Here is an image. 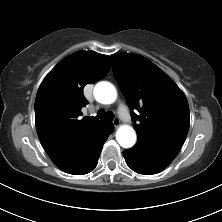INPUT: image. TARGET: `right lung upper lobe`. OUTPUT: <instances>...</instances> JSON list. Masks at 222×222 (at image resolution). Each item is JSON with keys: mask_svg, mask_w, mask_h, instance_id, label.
I'll use <instances>...</instances> for the list:
<instances>
[{"mask_svg": "<svg viewBox=\"0 0 222 222\" xmlns=\"http://www.w3.org/2000/svg\"><path fill=\"white\" fill-rule=\"evenodd\" d=\"M110 66L107 55L77 51L61 60L42 81L35 100V122L45 151L59 168L79 163L89 152V139L112 124L80 117L88 103L84 86L105 77Z\"/></svg>", "mask_w": 222, "mask_h": 222, "instance_id": "obj_1", "label": "right lung upper lobe"}]
</instances>
